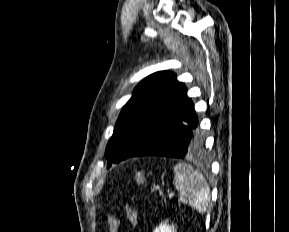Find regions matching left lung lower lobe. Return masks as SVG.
I'll return each mask as SVG.
<instances>
[{
	"instance_id": "obj_1",
	"label": "left lung lower lobe",
	"mask_w": 289,
	"mask_h": 232,
	"mask_svg": "<svg viewBox=\"0 0 289 232\" xmlns=\"http://www.w3.org/2000/svg\"><path fill=\"white\" fill-rule=\"evenodd\" d=\"M197 124L194 105L187 98L173 119L129 157L154 155L184 158L194 155L204 145V139Z\"/></svg>"
}]
</instances>
